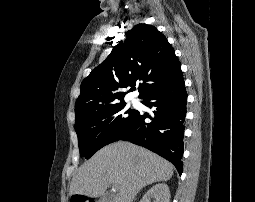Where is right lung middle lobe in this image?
<instances>
[{
	"label": "right lung middle lobe",
	"mask_w": 255,
	"mask_h": 202,
	"mask_svg": "<svg viewBox=\"0 0 255 202\" xmlns=\"http://www.w3.org/2000/svg\"><path fill=\"white\" fill-rule=\"evenodd\" d=\"M138 111L125 102L94 110L75 121L80 155L89 159L105 145L119 140L134 123Z\"/></svg>",
	"instance_id": "obj_1"
}]
</instances>
